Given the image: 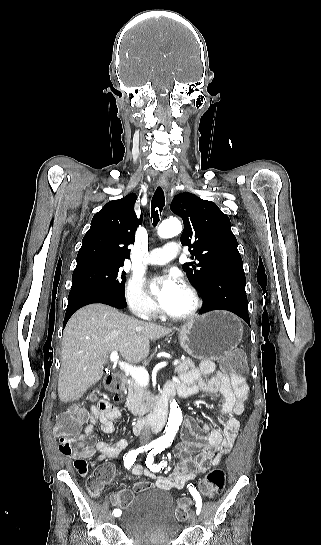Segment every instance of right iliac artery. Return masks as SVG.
<instances>
[{
	"mask_svg": "<svg viewBox=\"0 0 321 545\" xmlns=\"http://www.w3.org/2000/svg\"><path fill=\"white\" fill-rule=\"evenodd\" d=\"M155 447V444L154 443H150L146 446H143V447H140V448H137V449H134V450H131L129 451L128 453H126L123 457V460H124V466L127 468V469H130L131 466L134 464L135 460H136V457L138 454H140L141 452L143 451H148L150 450L151 448ZM113 514L114 516H119L120 515V511L115 509L113 511Z\"/></svg>",
	"mask_w": 321,
	"mask_h": 545,
	"instance_id": "82829eb1",
	"label": "right iliac artery"
}]
</instances>
